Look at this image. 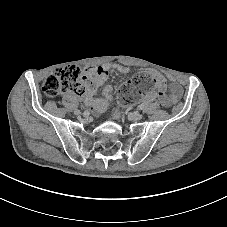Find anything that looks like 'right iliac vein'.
Returning a JSON list of instances; mask_svg holds the SVG:
<instances>
[{
  "instance_id": "63e3f726",
  "label": "right iliac vein",
  "mask_w": 227,
  "mask_h": 227,
  "mask_svg": "<svg viewBox=\"0 0 227 227\" xmlns=\"http://www.w3.org/2000/svg\"><path fill=\"white\" fill-rule=\"evenodd\" d=\"M74 113H75L76 115H80V114H81V111L78 110V109H75V110H74Z\"/></svg>"
}]
</instances>
